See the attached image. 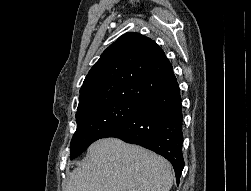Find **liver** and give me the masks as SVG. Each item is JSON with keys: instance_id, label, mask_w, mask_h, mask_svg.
Wrapping results in <instances>:
<instances>
[{"instance_id": "obj_1", "label": "liver", "mask_w": 251, "mask_h": 191, "mask_svg": "<svg viewBox=\"0 0 251 191\" xmlns=\"http://www.w3.org/2000/svg\"><path fill=\"white\" fill-rule=\"evenodd\" d=\"M171 163L117 137L97 139L72 169L64 191H169Z\"/></svg>"}]
</instances>
